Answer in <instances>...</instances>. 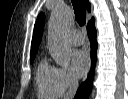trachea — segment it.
Listing matches in <instances>:
<instances>
[{
    "mask_svg": "<svg viewBox=\"0 0 128 99\" xmlns=\"http://www.w3.org/2000/svg\"><path fill=\"white\" fill-rule=\"evenodd\" d=\"M72 5L75 12V19L80 26L86 23V10L83 0H72Z\"/></svg>",
    "mask_w": 128,
    "mask_h": 99,
    "instance_id": "3493384b",
    "label": "trachea"
}]
</instances>
